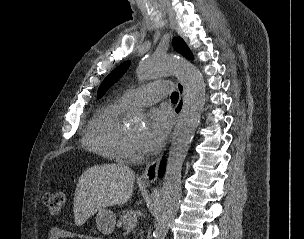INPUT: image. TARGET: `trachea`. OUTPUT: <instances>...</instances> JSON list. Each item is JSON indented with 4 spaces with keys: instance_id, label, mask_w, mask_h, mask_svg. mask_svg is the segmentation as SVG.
<instances>
[{
    "instance_id": "obj_1",
    "label": "trachea",
    "mask_w": 304,
    "mask_h": 239,
    "mask_svg": "<svg viewBox=\"0 0 304 239\" xmlns=\"http://www.w3.org/2000/svg\"><path fill=\"white\" fill-rule=\"evenodd\" d=\"M178 97H179L178 92H173V93L171 94V100L174 101V102H177V101H178Z\"/></svg>"
}]
</instances>
